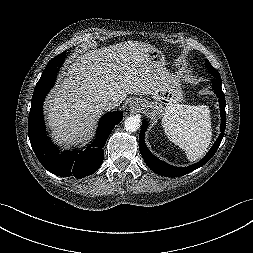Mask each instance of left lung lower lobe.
I'll use <instances>...</instances> for the list:
<instances>
[{"label":"left lung lower lobe","instance_id":"obj_1","mask_svg":"<svg viewBox=\"0 0 253 253\" xmlns=\"http://www.w3.org/2000/svg\"><path fill=\"white\" fill-rule=\"evenodd\" d=\"M211 74L213 76L212 86H213L215 94L219 98V103H220L221 133H220L218 139L216 140V142L214 143V145L212 146L210 151L206 154V156L202 160H200L199 162H197L193 165L187 166V167L171 166V165L159 160L157 157H155L148 150V148L145 144V141H144V134L147 129L148 122L146 120H143L140 135H139V150H140V153H141L143 159L145 160V163L155 173L160 174L162 176H166V177H178V176L185 175V174L203 166L205 163H207L212 158V156L215 154L216 150L218 149V147L223 139L224 131H225V127H226V114H225L226 101H225V97H224L222 87H221L220 74L217 72H213Z\"/></svg>","mask_w":253,"mask_h":253}]
</instances>
